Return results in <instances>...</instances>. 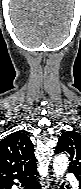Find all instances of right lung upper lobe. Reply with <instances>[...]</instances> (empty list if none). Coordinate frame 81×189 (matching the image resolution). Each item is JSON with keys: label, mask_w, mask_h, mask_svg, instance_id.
<instances>
[{"label": "right lung upper lobe", "mask_w": 81, "mask_h": 189, "mask_svg": "<svg viewBox=\"0 0 81 189\" xmlns=\"http://www.w3.org/2000/svg\"><path fill=\"white\" fill-rule=\"evenodd\" d=\"M37 166L33 144L22 132L0 141V184L8 183Z\"/></svg>", "instance_id": "obj_1"}]
</instances>
